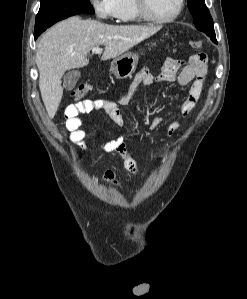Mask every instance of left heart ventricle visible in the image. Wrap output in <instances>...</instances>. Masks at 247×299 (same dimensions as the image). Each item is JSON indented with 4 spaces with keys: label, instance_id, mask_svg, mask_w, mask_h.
Returning <instances> with one entry per match:
<instances>
[{
    "label": "left heart ventricle",
    "instance_id": "obj_1",
    "mask_svg": "<svg viewBox=\"0 0 247 299\" xmlns=\"http://www.w3.org/2000/svg\"><path fill=\"white\" fill-rule=\"evenodd\" d=\"M149 13L156 18H167L174 14L178 0H146Z\"/></svg>",
    "mask_w": 247,
    "mask_h": 299
}]
</instances>
